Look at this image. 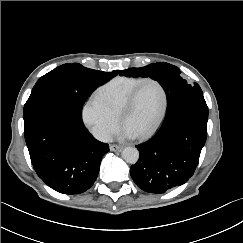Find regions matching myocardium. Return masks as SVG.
<instances>
[{"label":"myocardium","instance_id":"obj_1","mask_svg":"<svg viewBox=\"0 0 243 243\" xmlns=\"http://www.w3.org/2000/svg\"><path fill=\"white\" fill-rule=\"evenodd\" d=\"M147 82H154L159 86V88L162 92V104H161L160 110H159L156 118L154 119L153 123L146 130L137 134V136L140 138H145V137L149 136L150 134H152L155 131V129L158 127V125L160 124V122L166 112L168 96H167L166 88L163 85V83L160 80H158L157 78H153V77H147V78H144L143 80H141L133 88V90L130 92V94L126 98L125 102L123 103V105L120 108L119 115H118L120 122L123 124V120H124L126 113L134 105V102H135V99H136V96H137V93H138L140 87Z\"/></svg>","mask_w":243,"mask_h":243}]
</instances>
